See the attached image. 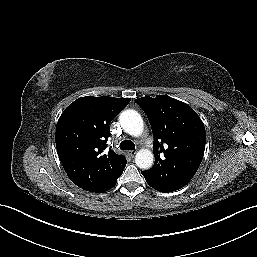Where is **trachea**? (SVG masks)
<instances>
[{
	"mask_svg": "<svg viewBox=\"0 0 257 257\" xmlns=\"http://www.w3.org/2000/svg\"><path fill=\"white\" fill-rule=\"evenodd\" d=\"M120 149L122 150H134L135 144L130 140H124L120 143Z\"/></svg>",
	"mask_w": 257,
	"mask_h": 257,
	"instance_id": "obj_1",
	"label": "trachea"
}]
</instances>
